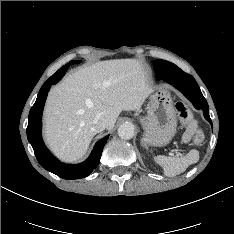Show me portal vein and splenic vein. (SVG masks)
<instances>
[{
    "mask_svg": "<svg viewBox=\"0 0 234 234\" xmlns=\"http://www.w3.org/2000/svg\"><path fill=\"white\" fill-rule=\"evenodd\" d=\"M176 155V156H182V154L178 151V150H176V149H173V150H171V152H170V155L171 156H173V155Z\"/></svg>",
    "mask_w": 234,
    "mask_h": 234,
    "instance_id": "1",
    "label": "portal vein and splenic vein"
}]
</instances>
